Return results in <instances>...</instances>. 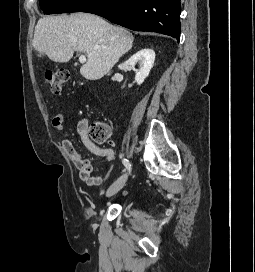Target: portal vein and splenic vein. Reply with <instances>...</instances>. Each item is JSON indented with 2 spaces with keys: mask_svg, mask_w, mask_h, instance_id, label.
I'll return each instance as SVG.
<instances>
[{
  "mask_svg": "<svg viewBox=\"0 0 255 272\" xmlns=\"http://www.w3.org/2000/svg\"><path fill=\"white\" fill-rule=\"evenodd\" d=\"M79 61H80V63H85L86 62V56L85 55H80Z\"/></svg>",
  "mask_w": 255,
  "mask_h": 272,
  "instance_id": "1",
  "label": "portal vein and splenic vein"
}]
</instances>
